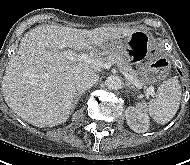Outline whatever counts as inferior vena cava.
Returning a JSON list of instances; mask_svg holds the SVG:
<instances>
[{
    "label": "inferior vena cava",
    "instance_id": "1",
    "mask_svg": "<svg viewBox=\"0 0 190 165\" xmlns=\"http://www.w3.org/2000/svg\"><path fill=\"white\" fill-rule=\"evenodd\" d=\"M99 79L94 71H85L79 74L75 80L76 89L79 92L90 89Z\"/></svg>",
    "mask_w": 190,
    "mask_h": 165
}]
</instances>
